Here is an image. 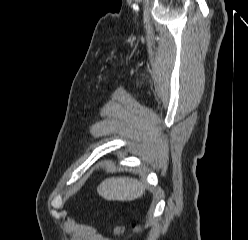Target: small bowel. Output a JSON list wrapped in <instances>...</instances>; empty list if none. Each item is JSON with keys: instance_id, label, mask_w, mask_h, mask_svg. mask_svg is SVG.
<instances>
[{"instance_id": "obj_1", "label": "small bowel", "mask_w": 248, "mask_h": 240, "mask_svg": "<svg viewBox=\"0 0 248 240\" xmlns=\"http://www.w3.org/2000/svg\"><path fill=\"white\" fill-rule=\"evenodd\" d=\"M121 233H122V228L120 227V226H115V228H114V237L113 238H111V239H106V240H113V239H116V238H118V237H120L121 236Z\"/></svg>"}]
</instances>
